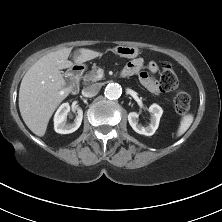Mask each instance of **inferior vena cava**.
<instances>
[{
	"label": "inferior vena cava",
	"instance_id": "obj_1",
	"mask_svg": "<svg viewBox=\"0 0 222 222\" xmlns=\"http://www.w3.org/2000/svg\"><path fill=\"white\" fill-rule=\"evenodd\" d=\"M100 89H101V85L100 84H98V83L92 84V85H89V86L83 88L82 95L84 97H93V96L98 94Z\"/></svg>",
	"mask_w": 222,
	"mask_h": 222
}]
</instances>
